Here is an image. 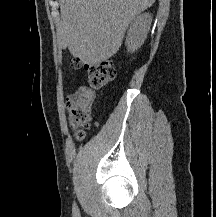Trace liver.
<instances>
[{"label": "liver", "instance_id": "liver-1", "mask_svg": "<svg viewBox=\"0 0 216 217\" xmlns=\"http://www.w3.org/2000/svg\"><path fill=\"white\" fill-rule=\"evenodd\" d=\"M155 0H60L58 44L89 65L106 61L122 45L126 29Z\"/></svg>", "mask_w": 216, "mask_h": 217}]
</instances>
